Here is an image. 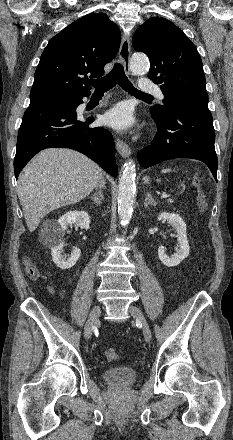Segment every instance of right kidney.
<instances>
[{
    "instance_id": "1",
    "label": "right kidney",
    "mask_w": 233,
    "mask_h": 440,
    "mask_svg": "<svg viewBox=\"0 0 233 440\" xmlns=\"http://www.w3.org/2000/svg\"><path fill=\"white\" fill-rule=\"evenodd\" d=\"M77 225L81 229L90 228V216L85 211H69L58 220H48L42 229V242L51 249L53 262L57 267L66 270L72 268L81 256L79 248H75L71 255H62L65 234L68 226Z\"/></svg>"
}]
</instances>
